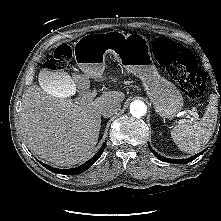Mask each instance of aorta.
Segmentation results:
<instances>
[{"mask_svg":"<svg viewBox=\"0 0 221 221\" xmlns=\"http://www.w3.org/2000/svg\"><path fill=\"white\" fill-rule=\"evenodd\" d=\"M147 112V107L144 102L140 100L133 101L130 105V113L136 117L139 118L141 116H144Z\"/></svg>","mask_w":221,"mask_h":221,"instance_id":"aorta-1","label":"aorta"}]
</instances>
